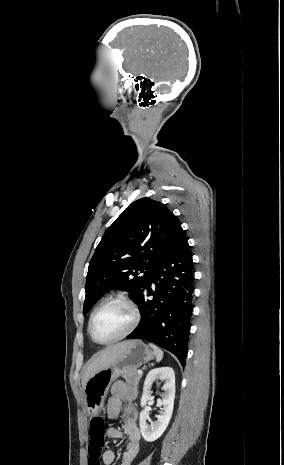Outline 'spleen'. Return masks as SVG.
Segmentation results:
<instances>
[{
    "instance_id": "obj_1",
    "label": "spleen",
    "mask_w": 284,
    "mask_h": 465,
    "mask_svg": "<svg viewBox=\"0 0 284 465\" xmlns=\"http://www.w3.org/2000/svg\"><path fill=\"white\" fill-rule=\"evenodd\" d=\"M150 347L154 351V355L156 357L157 363H159V361H162V359H163V351H161V349H159V347H156V345H150Z\"/></svg>"
}]
</instances>
